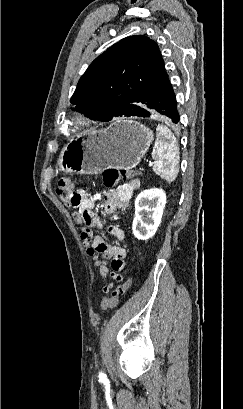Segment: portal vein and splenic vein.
<instances>
[{
  "label": "portal vein and splenic vein",
  "instance_id": "1",
  "mask_svg": "<svg viewBox=\"0 0 243 409\" xmlns=\"http://www.w3.org/2000/svg\"><path fill=\"white\" fill-rule=\"evenodd\" d=\"M152 165H153V163H152V162H150V163H149V167H151Z\"/></svg>",
  "mask_w": 243,
  "mask_h": 409
}]
</instances>
